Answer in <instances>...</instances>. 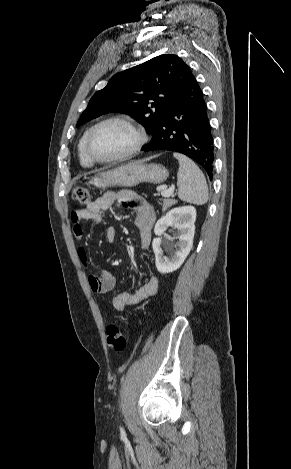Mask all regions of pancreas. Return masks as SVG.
I'll use <instances>...</instances> for the list:
<instances>
[{
  "label": "pancreas",
  "mask_w": 291,
  "mask_h": 469,
  "mask_svg": "<svg viewBox=\"0 0 291 469\" xmlns=\"http://www.w3.org/2000/svg\"><path fill=\"white\" fill-rule=\"evenodd\" d=\"M177 201L174 200V199H163L162 200V211H166L169 207H171L172 205L176 204Z\"/></svg>",
  "instance_id": "pancreas-1"
}]
</instances>
